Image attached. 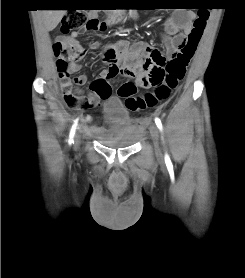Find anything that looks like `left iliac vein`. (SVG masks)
Wrapping results in <instances>:
<instances>
[{
  "mask_svg": "<svg viewBox=\"0 0 245 278\" xmlns=\"http://www.w3.org/2000/svg\"><path fill=\"white\" fill-rule=\"evenodd\" d=\"M151 137L154 143L156 155L162 159V152L160 148V138L161 134L156 126H152L150 129Z\"/></svg>",
  "mask_w": 245,
  "mask_h": 278,
  "instance_id": "left-iliac-vein-1",
  "label": "left iliac vein"
}]
</instances>
